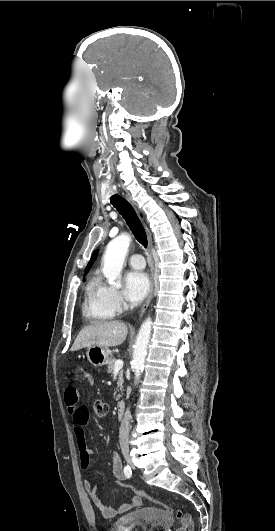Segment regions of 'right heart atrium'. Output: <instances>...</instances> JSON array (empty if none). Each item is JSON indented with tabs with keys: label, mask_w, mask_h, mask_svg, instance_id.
<instances>
[{
	"label": "right heart atrium",
	"mask_w": 275,
	"mask_h": 531,
	"mask_svg": "<svg viewBox=\"0 0 275 531\" xmlns=\"http://www.w3.org/2000/svg\"><path fill=\"white\" fill-rule=\"evenodd\" d=\"M98 303L110 317H118L128 309L125 295L105 282L98 285Z\"/></svg>",
	"instance_id": "d8ad5b80"
}]
</instances>
